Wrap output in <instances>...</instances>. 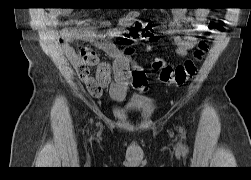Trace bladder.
I'll return each mask as SVG.
<instances>
[{
	"label": "bladder",
	"instance_id": "obj_1",
	"mask_svg": "<svg viewBox=\"0 0 251 180\" xmlns=\"http://www.w3.org/2000/svg\"><path fill=\"white\" fill-rule=\"evenodd\" d=\"M156 107V102L152 98H137L128 102L124 106L125 111H147L153 110Z\"/></svg>",
	"mask_w": 251,
	"mask_h": 180
}]
</instances>
